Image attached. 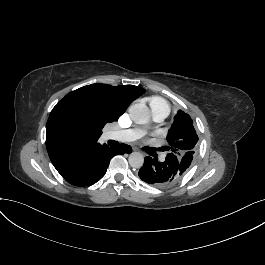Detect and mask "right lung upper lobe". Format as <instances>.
I'll use <instances>...</instances> for the list:
<instances>
[{
    "label": "right lung upper lobe",
    "instance_id": "obj_1",
    "mask_svg": "<svg viewBox=\"0 0 265 265\" xmlns=\"http://www.w3.org/2000/svg\"><path fill=\"white\" fill-rule=\"evenodd\" d=\"M145 90L138 86L91 84L67 94L52 109L46 147L58 172L79 155L100 145L102 128L122 115Z\"/></svg>",
    "mask_w": 265,
    "mask_h": 265
}]
</instances>
